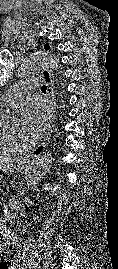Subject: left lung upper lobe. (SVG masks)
I'll return each instance as SVG.
<instances>
[{"mask_svg": "<svg viewBox=\"0 0 118 269\" xmlns=\"http://www.w3.org/2000/svg\"><path fill=\"white\" fill-rule=\"evenodd\" d=\"M44 48H45L46 50H49V49H50V47H49L48 43H47V44H45Z\"/></svg>", "mask_w": 118, "mask_h": 269, "instance_id": "1", "label": "left lung upper lobe"}]
</instances>
